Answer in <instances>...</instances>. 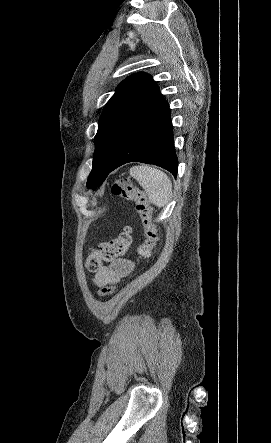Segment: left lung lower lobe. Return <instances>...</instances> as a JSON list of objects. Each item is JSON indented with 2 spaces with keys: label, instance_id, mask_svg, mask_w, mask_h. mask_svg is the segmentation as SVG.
I'll list each match as a JSON object with an SVG mask.
<instances>
[{
  "label": "left lung lower lobe",
  "instance_id": "1",
  "mask_svg": "<svg viewBox=\"0 0 271 443\" xmlns=\"http://www.w3.org/2000/svg\"><path fill=\"white\" fill-rule=\"evenodd\" d=\"M155 164L177 175L172 122L168 103L154 86L126 128L110 172L128 162Z\"/></svg>",
  "mask_w": 271,
  "mask_h": 443
}]
</instances>
